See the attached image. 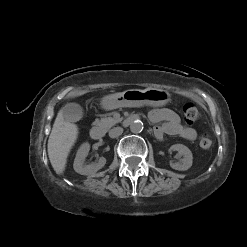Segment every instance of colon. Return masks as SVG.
<instances>
[{"mask_svg":"<svg viewBox=\"0 0 247 247\" xmlns=\"http://www.w3.org/2000/svg\"><path fill=\"white\" fill-rule=\"evenodd\" d=\"M182 111L184 118L188 123H194L201 116V113L197 106L191 102L185 103L183 105ZM199 145L202 149L208 150L212 146V139L209 135L204 134L199 139Z\"/></svg>","mask_w":247,"mask_h":247,"instance_id":"5ec220e1","label":"colon"}]
</instances>
